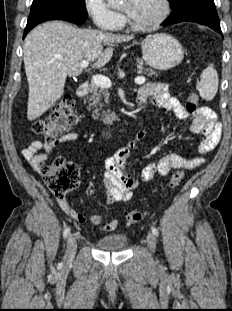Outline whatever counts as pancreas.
<instances>
[{
  "label": "pancreas",
  "mask_w": 232,
  "mask_h": 311,
  "mask_svg": "<svg viewBox=\"0 0 232 311\" xmlns=\"http://www.w3.org/2000/svg\"><path fill=\"white\" fill-rule=\"evenodd\" d=\"M137 69L139 73H145L149 77H152L153 75L158 77L156 71L151 68H144L141 63L137 65ZM90 87V94L87 96V100L89 102V108L94 109L92 117L95 120L101 119L104 123L111 124L117 117L113 112L104 111L101 103L103 97L105 98V103L109 102L110 94L108 90L96 85L93 81L91 82Z\"/></svg>",
  "instance_id": "1"
}]
</instances>
